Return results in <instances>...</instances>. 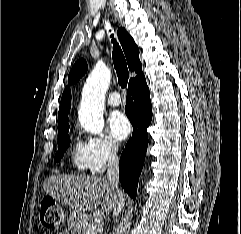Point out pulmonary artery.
I'll use <instances>...</instances> for the list:
<instances>
[{
	"instance_id": "e3ab8cb5",
	"label": "pulmonary artery",
	"mask_w": 241,
	"mask_h": 234,
	"mask_svg": "<svg viewBox=\"0 0 241 234\" xmlns=\"http://www.w3.org/2000/svg\"><path fill=\"white\" fill-rule=\"evenodd\" d=\"M121 103V97L120 94L117 92L111 93L107 98V104L111 107H116L120 105Z\"/></svg>"
}]
</instances>
